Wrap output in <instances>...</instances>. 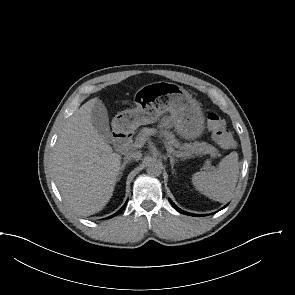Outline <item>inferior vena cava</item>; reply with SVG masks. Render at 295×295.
Masks as SVG:
<instances>
[{
	"label": "inferior vena cava",
	"mask_w": 295,
	"mask_h": 295,
	"mask_svg": "<svg viewBox=\"0 0 295 295\" xmlns=\"http://www.w3.org/2000/svg\"><path fill=\"white\" fill-rule=\"evenodd\" d=\"M141 157H142L141 152L137 151V152H130V153H128V154L125 156L124 159H125V160H128V161H130V160H132V159H134V160H140Z\"/></svg>",
	"instance_id": "602c4592"
}]
</instances>
